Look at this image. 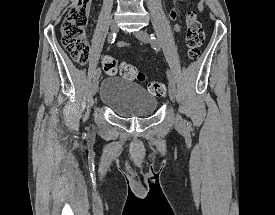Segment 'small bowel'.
Listing matches in <instances>:
<instances>
[{
	"instance_id": "small-bowel-1",
	"label": "small bowel",
	"mask_w": 275,
	"mask_h": 215,
	"mask_svg": "<svg viewBox=\"0 0 275 215\" xmlns=\"http://www.w3.org/2000/svg\"><path fill=\"white\" fill-rule=\"evenodd\" d=\"M198 8H199V9H202V8H203V3H202V2H198ZM176 17H177L176 11H172V12L170 13V18H171L172 20H175ZM181 28H182V26H181L180 24H176V25H175V29H176L177 31H180ZM129 45H130V43L124 42V41H119V42H117V44H116V46H118V47H125V46H129Z\"/></svg>"
}]
</instances>
